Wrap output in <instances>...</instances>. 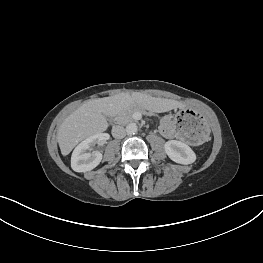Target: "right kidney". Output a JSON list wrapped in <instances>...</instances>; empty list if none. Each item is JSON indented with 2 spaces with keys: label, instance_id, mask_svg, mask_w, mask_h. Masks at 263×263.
I'll return each instance as SVG.
<instances>
[{
  "label": "right kidney",
  "instance_id": "obj_1",
  "mask_svg": "<svg viewBox=\"0 0 263 263\" xmlns=\"http://www.w3.org/2000/svg\"><path fill=\"white\" fill-rule=\"evenodd\" d=\"M109 138L107 133L94 134L82 141L73 151L71 167L76 172H86L94 169L102 160V153L91 150L95 145L104 144Z\"/></svg>",
  "mask_w": 263,
  "mask_h": 263
}]
</instances>
